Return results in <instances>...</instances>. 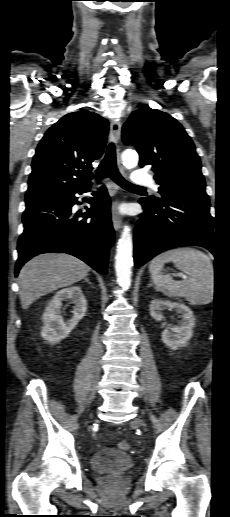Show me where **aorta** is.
<instances>
[{"mask_svg":"<svg viewBox=\"0 0 230 517\" xmlns=\"http://www.w3.org/2000/svg\"><path fill=\"white\" fill-rule=\"evenodd\" d=\"M121 158L126 168H134L138 163V154L134 150H125ZM132 250L131 228L125 225L120 239L118 240L115 257L117 281L124 290H127L131 285V269L133 265Z\"/></svg>","mask_w":230,"mask_h":517,"instance_id":"obj_1","label":"aorta"}]
</instances>
